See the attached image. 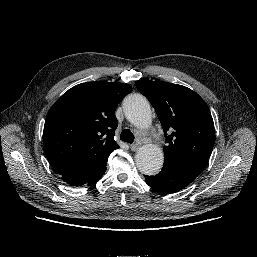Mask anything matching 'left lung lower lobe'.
<instances>
[{"label": "left lung lower lobe", "mask_w": 257, "mask_h": 257, "mask_svg": "<svg viewBox=\"0 0 257 257\" xmlns=\"http://www.w3.org/2000/svg\"><path fill=\"white\" fill-rule=\"evenodd\" d=\"M145 177L146 183L154 190L169 194L184 189L194 181L197 175L180 166L164 163L161 172L157 175Z\"/></svg>", "instance_id": "left-lung-lower-lobe-1"}]
</instances>
